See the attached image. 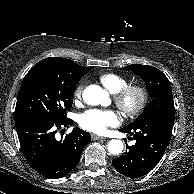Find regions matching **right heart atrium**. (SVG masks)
I'll return each instance as SVG.
<instances>
[{
	"label": "right heart atrium",
	"mask_w": 194,
	"mask_h": 194,
	"mask_svg": "<svg viewBox=\"0 0 194 194\" xmlns=\"http://www.w3.org/2000/svg\"><path fill=\"white\" fill-rule=\"evenodd\" d=\"M84 88H85V82H84V81L80 82V83L75 87V90H74V97H75L76 99H80V98L82 97Z\"/></svg>",
	"instance_id": "right-heart-atrium-1"
}]
</instances>
